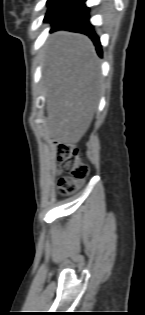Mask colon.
Segmentation results:
<instances>
[{"instance_id":"colon-1","label":"colon","mask_w":145,"mask_h":315,"mask_svg":"<svg viewBox=\"0 0 145 315\" xmlns=\"http://www.w3.org/2000/svg\"><path fill=\"white\" fill-rule=\"evenodd\" d=\"M57 160L60 170L69 174L58 180V194L65 197L76 190L87 177L89 167L82 161L78 149L67 143L58 145Z\"/></svg>"}]
</instances>
